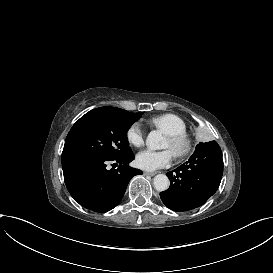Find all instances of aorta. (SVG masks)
Instances as JSON below:
<instances>
[{
    "mask_svg": "<svg viewBox=\"0 0 273 273\" xmlns=\"http://www.w3.org/2000/svg\"><path fill=\"white\" fill-rule=\"evenodd\" d=\"M146 145L153 150L163 148L164 137L161 132L151 131L147 136ZM153 185L157 191L162 192L169 188L170 181L166 175L158 174L154 177Z\"/></svg>",
    "mask_w": 273,
    "mask_h": 273,
    "instance_id": "1",
    "label": "aorta"
}]
</instances>
